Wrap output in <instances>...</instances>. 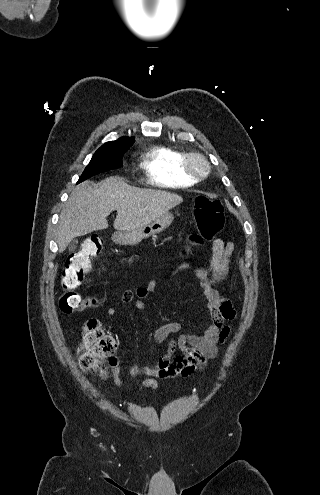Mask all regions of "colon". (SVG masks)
I'll return each instance as SVG.
<instances>
[{
  "mask_svg": "<svg viewBox=\"0 0 320 495\" xmlns=\"http://www.w3.org/2000/svg\"><path fill=\"white\" fill-rule=\"evenodd\" d=\"M194 216L199 233L189 235L186 243L187 247L198 248L222 230L223 205L219 199L199 196L195 199ZM103 246V236L91 234L82 242L80 249L68 257L61 276L64 292L60 296L59 307L63 312H76L94 304L92 299L84 298L75 289L91 270L92 262L100 257ZM116 348L114 337L104 331L98 320L89 319L85 322L79 349V364L83 370L97 371L106 378L105 361L109 359L111 364L116 362Z\"/></svg>",
  "mask_w": 320,
  "mask_h": 495,
  "instance_id": "obj_1",
  "label": "colon"
}]
</instances>
